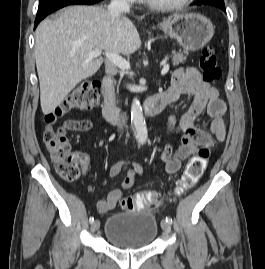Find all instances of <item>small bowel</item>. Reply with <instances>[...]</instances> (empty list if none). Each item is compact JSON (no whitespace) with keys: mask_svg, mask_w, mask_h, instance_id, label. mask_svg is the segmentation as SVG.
I'll return each instance as SVG.
<instances>
[{"mask_svg":"<svg viewBox=\"0 0 265 269\" xmlns=\"http://www.w3.org/2000/svg\"><path fill=\"white\" fill-rule=\"evenodd\" d=\"M165 106L171 109L179 101L182 95L192 99L189 109L180 117L170 113L168 128L173 135H180L178 143H168L160 152V159L165 163L167 173L174 174L181 168L182 161L189 158L200 145L223 142L226 136V123L223 118L225 103L219 97V90L206 82L199 71L194 67H182L177 69L172 76L171 85L162 93ZM206 110L207 114L214 118L212 123V135L199 129L195 125L196 119ZM78 121L84 126H78ZM69 130L88 131L91 123L85 120H72L67 122ZM131 163L133 169L128 170L122 180L121 188L130 189L135 182L136 175L142 173L140 164L132 161H120L111 168V175L119 174L124 165ZM83 169L89 166L87 156L82 158ZM122 196L120 188H113L97 203V210L101 214L112 211Z\"/></svg>","mask_w":265,"mask_h":269,"instance_id":"obj_1","label":"small bowel"}]
</instances>
